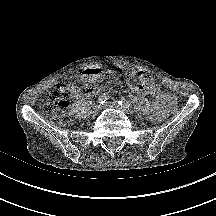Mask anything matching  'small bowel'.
I'll list each match as a JSON object with an SVG mask.
<instances>
[{
  "label": "small bowel",
  "mask_w": 216,
  "mask_h": 216,
  "mask_svg": "<svg viewBox=\"0 0 216 216\" xmlns=\"http://www.w3.org/2000/svg\"><path fill=\"white\" fill-rule=\"evenodd\" d=\"M126 75L130 79L128 85L132 91L155 97L151 109V119L154 121L160 120L163 117L167 106L170 105L173 94L161 93L159 86L145 73L139 75V82L132 80L136 75L134 71L129 70L126 72ZM97 90V87L79 88L74 94V97L92 96Z\"/></svg>",
  "instance_id": "c3829d8e"
}]
</instances>
